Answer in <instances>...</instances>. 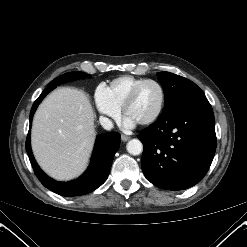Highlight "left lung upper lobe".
Masks as SVG:
<instances>
[{
  "mask_svg": "<svg viewBox=\"0 0 247 247\" xmlns=\"http://www.w3.org/2000/svg\"><path fill=\"white\" fill-rule=\"evenodd\" d=\"M157 76L165 94L163 113L186 97L203 94V91L195 83L179 75L170 72H158Z\"/></svg>",
  "mask_w": 247,
  "mask_h": 247,
  "instance_id": "obj_1",
  "label": "left lung upper lobe"
}]
</instances>
